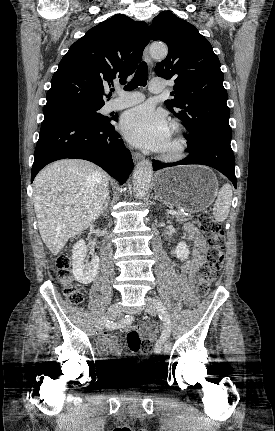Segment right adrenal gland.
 <instances>
[{
	"mask_svg": "<svg viewBox=\"0 0 275 431\" xmlns=\"http://www.w3.org/2000/svg\"><path fill=\"white\" fill-rule=\"evenodd\" d=\"M109 201H110V197H108V198L106 199V202H105V204H104V206H103V208H102V211H101V215H103V214H104V211L107 209L108 204H109Z\"/></svg>",
	"mask_w": 275,
	"mask_h": 431,
	"instance_id": "1",
	"label": "right adrenal gland"
}]
</instances>
